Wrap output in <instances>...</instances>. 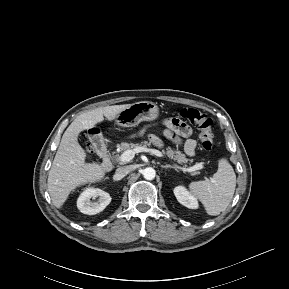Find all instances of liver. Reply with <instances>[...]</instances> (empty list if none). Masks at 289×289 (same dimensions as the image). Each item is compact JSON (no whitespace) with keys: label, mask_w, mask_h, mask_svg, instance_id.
<instances>
[{"label":"liver","mask_w":289,"mask_h":289,"mask_svg":"<svg viewBox=\"0 0 289 289\" xmlns=\"http://www.w3.org/2000/svg\"><path fill=\"white\" fill-rule=\"evenodd\" d=\"M131 104L106 106L82 113L64 132L51 169L47 186L53 204L61 208L71 191L87 183L104 179V168L96 163H86V153L78 142L79 133L93 128L104 120L112 121Z\"/></svg>","instance_id":"obj_1"}]
</instances>
